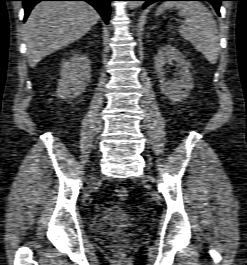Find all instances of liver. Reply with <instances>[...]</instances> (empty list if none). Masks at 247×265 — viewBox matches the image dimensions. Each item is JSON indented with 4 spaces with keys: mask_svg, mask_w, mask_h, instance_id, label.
I'll list each match as a JSON object with an SVG mask.
<instances>
[{
    "mask_svg": "<svg viewBox=\"0 0 247 265\" xmlns=\"http://www.w3.org/2000/svg\"><path fill=\"white\" fill-rule=\"evenodd\" d=\"M99 18L97 11L82 1L37 4L24 25L30 67L34 68L46 56L80 39Z\"/></svg>",
    "mask_w": 247,
    "mask_h": 265,
    "instance_id": "1",
    "label": "liver"
}]
</instances>
